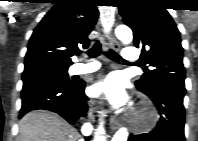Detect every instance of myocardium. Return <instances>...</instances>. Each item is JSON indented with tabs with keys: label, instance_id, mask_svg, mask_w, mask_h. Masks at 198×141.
<instances>
[{
	"label": "myocardium",
	"instance_id": "f54148a6",
	"mask_svg": "<svg viewBox=\"0 0 198 141\" xmlns=\"http://www.w3.org/2000/svg\"><path fill=\"white\" fill-rule=\"evenodd\" d=\"M145 115V118H141ZM156 120V114L153 108L149 104H144L138 108L132 119V125L136 128H147L154 124Z\"/></svg>",
	"mask_w": 198,
	"mask_h": 141
}]
</instances>
